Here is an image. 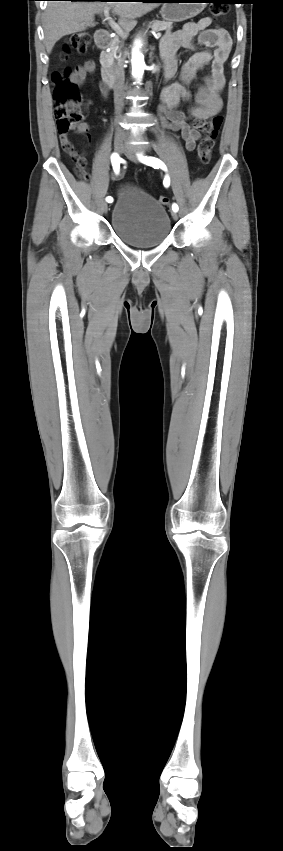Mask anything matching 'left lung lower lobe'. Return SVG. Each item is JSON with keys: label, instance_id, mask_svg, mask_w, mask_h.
Wrapping results in <instances>:
<instances>
[{"label": "left lung lower lobe", "instance_id": "1", "mask_svg": "<svg viewBox=\"0 0 283 851\" xmlns=\"http://www.w3.org/2000/svg\"><path fill=\"white\" fill-rule=\"evenodd\" d=\"M150 1H151V2H166V1H168V0H150ZM218 3H229V4H234V3H238V2H236L235 0H229V1H227V2H218Z\"/></svg>", "mask_w": 283, "mask_h": 851}]
</instances>
